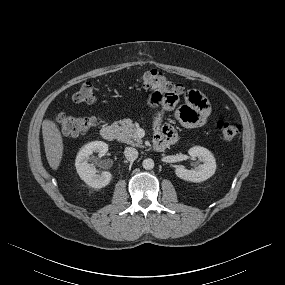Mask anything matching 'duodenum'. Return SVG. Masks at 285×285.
<instances>
[{"label": "duodenum", "mask_w": 285, "mask_h": 285, "mask_svg": "<svg viewBox=\"0 0 285 285\" xmlns=\"http://www.w3.org/2000/svg\"><path fill=\"white\" fill-rule=\"evenodd\" d=\"M100 134L106 141H114L117 137V129L113 125H105L101 128ZM169 141L165 138H155L153 146L156 151H164L169 145Z\"/></svg>", "instance_id": "410a0bca"}]
</instances>
